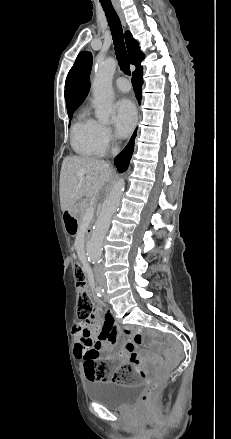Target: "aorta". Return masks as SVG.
<instances>
[{"mask_svg":"<svg viewBox=\"0 0 231 439\" xmlns=\"http://www.w3.org/2000/svg\"><path fill=\"white\" fill-rule=\"evenodd\" d=\"M116 65L117 63L115 59L110 57L99 62L95 68V76L92 84L95 117L104 123L109 121L110 115L113 111L114 94L112 89V78L116 70ZM124 187V179L120 178L117 180L102 205L92 236L86 245L87 256L93 263H97L102 256L103 240L109 229L112 215L120 205Z\"/></svg>","mask_w":231,"mask_h":439,"instance_id":"762f6f07","label":"aorta"}]
</instances>
